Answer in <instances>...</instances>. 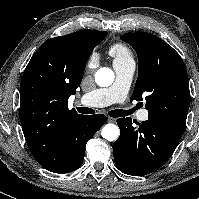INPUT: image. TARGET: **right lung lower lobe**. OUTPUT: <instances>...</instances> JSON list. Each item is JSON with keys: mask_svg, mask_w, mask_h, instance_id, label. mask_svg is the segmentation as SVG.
Segmentation results:
<instances>
[{"mask_svg": "<svg viewBox=\"0 0 199 199\" xmlns=\"http://www.w3.org/2000/svg\"><path fill=\"white\" fill-rule=\"evenodd\" d=\"M105 122L103 114L81 115L73 119L59 137L44 145L25 139L30 152L42 167L53 173H69L82 165L87 141Z\"/></svg>", "mask_w": 199, "mask_h": 199, "instance_id": "right-lung-lower-lobe-1", "label": "right lung lower lobe"}]
</instances>
